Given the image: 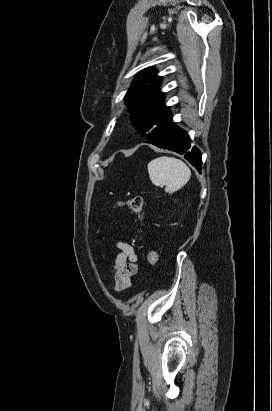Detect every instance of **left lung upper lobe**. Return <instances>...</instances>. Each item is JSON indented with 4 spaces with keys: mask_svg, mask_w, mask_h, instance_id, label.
<instances>
[{
    "mask_svg": "<svg viewBox=\"0 0 272 411\" xmlns=\"http://www.w3.org/2000/svg\"><path fill=\"white\" fill-rule=\"evenodd\" d=\"M160 85L161 78L156 76L154 69H144L137 74L124 97L132 124L141 136L149 137L172 119L171 110L164 105Z\"/></svg>",
    "mask_w": 272,
    "mask_h": 411,
    "instance_id": "1",
    "label": "left lung upper lobe"
}]
</instances>
